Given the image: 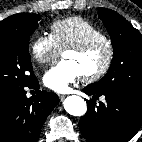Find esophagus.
<instances>
[{
    "instance_id": "obj_1",
    "label": "esophagus",
    "mask_w": 142,
    "mask_h": 142,
    "mask_svg": "<svg viewBox=\"0 0 142 142\" xmlns=\"http://www.w3.org/2000/svg\"><path fill=\"white\" fill-rule=\"evenodd\" d=\"M59 98H60L61 101H63L66 98V96L65 95H59Z\"/></svg>"
}]
</instances>
